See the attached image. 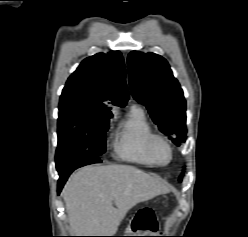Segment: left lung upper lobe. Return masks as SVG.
Masks as SVG:
<instances>
[{
  "label": "left lung upper lobe",
  "mask_w": 248,
  "mask_h": 237,
  "mask_svg": "<svg viewBox=\"0 0 248 237\" xmlns=\"http://www.w3.org/2000/svg\"><path fill=\"white\" fill-rule=\"evenodd\" d=\"M130 89L155 124L173 143L186 139V101L168 62L160 55L132 51L128 55Z\"/></svg>",
  "instance_id": "left-lung-upper-lobe-1"
}]
</instances>
